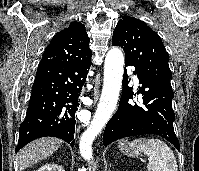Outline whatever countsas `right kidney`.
Masks as SVG:
<instances>
[{
    "instance_id": "1",
    "label": "right kidney",
    "mask_w": 199,
    "mask_h": 171,
    "mask_svg": "<svg viewBox=\"0 0 199 171\" xmlns=\"http://www.w3.org/2000/svg\"><path fill=\"white\" fill-rule=\"evenodd\" d=\"M37 171H65L62 166L55 163H47L41 166Z\"/></svg>"
}]
</instances>
